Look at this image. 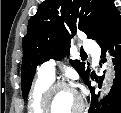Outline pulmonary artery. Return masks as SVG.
<instances>
[{"label": "pulmonary artery", "instance_id": "e3ab8cb5", "mask_svg": "<svg viewBox=\"0 0 121 113\" xmlns=\"http://www.w3.org/2000/svg\"><path fill=\"white\" fill-rule=\"evenodd\" d=\"M84 46L89 52L93 53L95 57H98L99 48L94 41L87 40ZM39 73L43 76L53 79L56 73L54 63L51 61L44 62L39 67Z\"/></svg>", "mask_w": 121, "mask_h": 113}]
</instances>
